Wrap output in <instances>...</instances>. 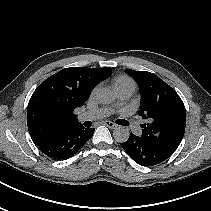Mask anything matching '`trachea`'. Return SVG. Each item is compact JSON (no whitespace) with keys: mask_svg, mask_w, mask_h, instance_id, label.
<instances>
[{"mask_svg":"<svg viewBox=\"0 0 211 211\" xmlns=\"http://www.w3.org/2000/svg\"><path fill=\"white\" fill-rule=\"evenodd\" d=\"M127 124H128V123L125 121V122H124V125H127Z\"/></svg>","mask_w":211,"mask_h":211,"instance_id":"3493384b","label":"trachea"}]
</instances>
